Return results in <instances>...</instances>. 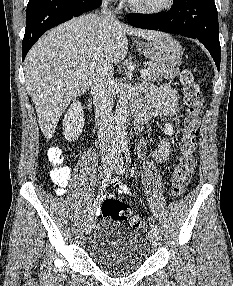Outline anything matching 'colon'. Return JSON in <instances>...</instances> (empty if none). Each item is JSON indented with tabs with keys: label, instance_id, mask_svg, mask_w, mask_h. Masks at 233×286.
Segmentation results:
<instances>
[{
	"label": "colon",
	"instance_id": "obj_1",
	"mask_svg": "<svg viewBox=\"0 0 233 286\" xmlns=\"http://www.w3.org/2000/svg\"><path fill=\"white\" fill-rule=\"evenodd\" d=\"M183 103L185 107L184 132L179 144L180 157L172 176V193L175 197L184 194L196 165L194 152L203 110V97L198 83L190 70H184L180 75ZM48 159L53 169L51 177L54 182L64 186L70 179V171L62 166L63 154L60 148L53 147L48 152ZM102 215L115 220H126L136 230H144V221L131 214L127 204L107 198L101 205Z\"/></svg>",
	"mask_w": 233,
	"mask_h": 286
}]
</instances>
